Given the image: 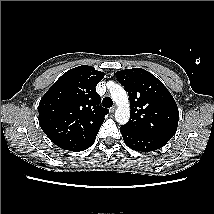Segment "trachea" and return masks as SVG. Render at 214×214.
Segmentation results:
<instances>
[{
	"label": "trachea",
	"mask_w": 214,
	"mask_h": 214,
	"mask_svg": "<svg viewBox=\"0 0 214 214\" xmlns=\"http://www.w3.org/2000/svg\"><path fill=\"white\" fill-rule=\"evenodd\" d=\"M102 104H103L104 107L110 108V107H112V105H113V101H112L111 98L105 97V98L103 99V101H102Z\"/></svg>",
	"instance_id": "1"
}]
</instances>
